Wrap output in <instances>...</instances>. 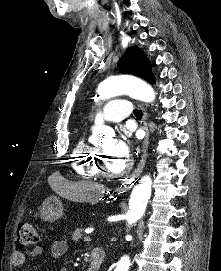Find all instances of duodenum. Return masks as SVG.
<instances>
[{"label": "duodenum", "mask_w": 221, "mask_h": 271, "mask_svg": "<svg viewBox=\"0 0 221 271\" xmlns=\"http://www.w3.org/2000/svg\"><path fill=\"white\" fill-rule=\"evenodd\" d=\"M105 259V252L101 248H95L90 254V265L87 271H99Z\"/></svg>", "instance_id": "duodenum-1"}]
</instances>
